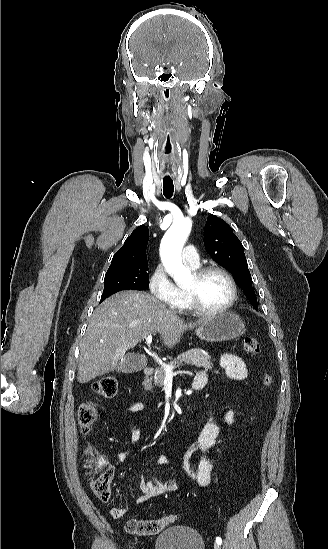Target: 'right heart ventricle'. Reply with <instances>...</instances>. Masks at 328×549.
Instances as JSON below:
<instances>
[{
	"label": "right heart ventricle",
	"mask_w": 328,
	"mask_h": 549,
	"mask_svg": "<svg viewBox=\"0 0 328 549\" xmlns=\"http://www.w3.org/2000/svg\"><path fill=\"white\" fill-rule=\"evenodd\" d=\"M186 263L187 265L193 266V265H198L199 261L196 263H192V262H186ZM167 303H177V310H179V314L189 310L187 308V305L189 303L185 294L184 287L175 286L174 293Z\"/></svg>",
	"instance_id": "right-heart-ventricle-1"
}]
</instances>
